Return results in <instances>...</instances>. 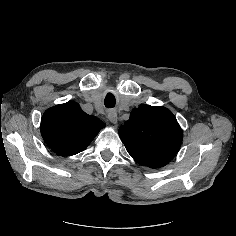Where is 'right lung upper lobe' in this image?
<instances>
[{
    "label": "right lung upper lobe",
    "mask_w": 236,
    "mask_h": 236,
    "mask_svg": "<svg viewBox=\"0 0 236 236\" xmlns=\"http://www.w3.org/2000/svg\"><path fill=\"white\" fill-rule=\"evenodd\" d=\"M104 127V122L86 114L73 101L48 109L41 119L42 137L59 156H72L84 151Z\"/></svg>",
    "instance_id": "cb5924a9"
}]
</instances>
